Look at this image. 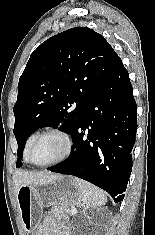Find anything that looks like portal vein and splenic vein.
<instances>
[{
  "label": "portal vein and splenic vein",
  "mask_w": 155,
  "mask_h": 235,
  "mask_svg": "<svg viewBox=\"0 0 155 235\" xmlns=\"http://www.w3.org/2000/svg\"><path fill=\"white\" fill-rule=\"evenodd\" d=\"M72 214H76L77 213V209L76 208H71V211H70Z\"/></svg>",
  "instance_id": "18ae733b"
}]
</instances>
